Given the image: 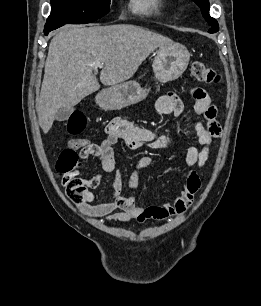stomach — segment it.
<instances>
[{"label":"stomach","mask_w":261,"mask_h":306,"mask_svg":"<svg viewBox=\"0 0 261 306\" xmlns=\"http://www.w3.org/2000/svg\"><path fill=\"white\" fill-rule=\"evenodd\" d=\"M189 60L190 53L179 43L160 46L152 64L155 78L162 83L178 79ZM149 91L138 82L129 81L102 90L96 96V102L104 110H118L142 101Z\"/></svg>","instance_id":"stomach-1"}]
</instances>
